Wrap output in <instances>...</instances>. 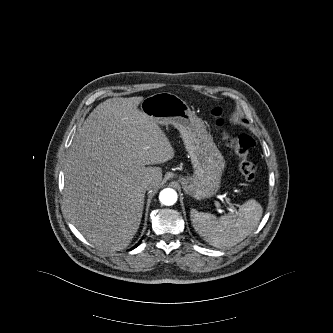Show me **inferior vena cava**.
<instances>
[{
    "label": "inferior vena cava",
    "mask_w": 333,
    "mask_h": 333,
    "mask_svg": "<svg viewBox=\"0 0 333 333\" xmlns=\"http://www.w3.org/2000/svg\"><path fill=\"white\" fill-rule=\"evenodd\" d=\"M154 184H155V180L153 178H149L144 182L143 186L145 189L149 190L150 188H152V186Z\"/></svg>",
    "instance_id": "1"
}]
</instances>
